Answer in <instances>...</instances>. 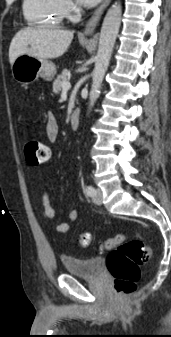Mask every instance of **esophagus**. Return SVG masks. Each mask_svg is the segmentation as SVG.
Masks as SVG:
<instances>
[{
  "label": "esophagus",
  "instance_id": "obj_1",
  "mask_svg": "<svg viewBox=\"0 0 171 337\" xmlns=\"http://www.w3.org/2000/svg\"><path fill=\"white\" fill-rule=\"evenodd\" d=\"M111 0H103L101 5L95 10L92 17L89 19L85 26L84 33L85 34H91L94 29L96 28L98 22L100 21V18L104 12V10L107 8Z\"/></svg>",
  "mask_w": 171,
  "mask_h": 337
}]
</instances>
